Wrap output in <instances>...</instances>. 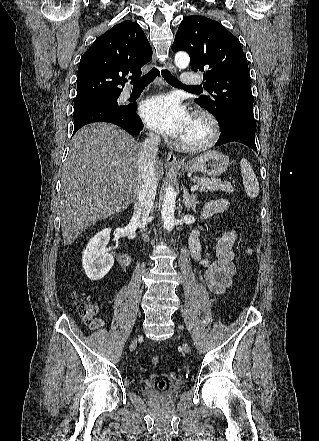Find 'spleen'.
I'll return each mask as SVG.
<instances>
[{"instance_id": "1", "label": "spleen", "mask_w": 319, "mask_h": 441, "mask_svg": "<svg viewBox=\"0 0 319 441\" xmlns=\"http://www.w3.org/2000/svg\"><path fill=\"white\" fill-rule=\"evenodd\" d=\"M240 165L246 194L251 199H254L259 194V183L257 181L256 175L247 159L242 158Z\"/></svg>"}]
</instances>
